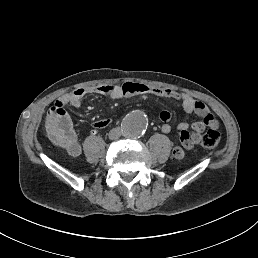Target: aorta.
Returning a JSON list of instances; mask_svg holds the SVG:
<instances>
[{
    "instance_id": "obj_1",
    "label": "aorta",
    "mask_w": 258,
    "mask_h": 258,
    "mask_svg": "<svg viewBox=\"0 0 258 258\" xmlns=\"http://www.w3.org/2000/svg\"><path fill=\"white\" fill-rule=\"evenodd\" d=\"M122 132L128 138H139L148 126L147 115L140 110L129 113L122 121Z\"/></svg>"
}]
</instances>
